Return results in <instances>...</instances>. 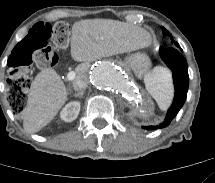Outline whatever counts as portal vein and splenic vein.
Here are the masks:
<instances>
[{"mask_svg": "<svg viewBox=\"0 0 215 183\" xmlns=\"http://www.w3.org/2000/svg\"><path fill=\"white\" fill-rule=\"evenodd\" d=\"M67 78L68 80L72 81L76 78V73L74 71H70L68 74H67Z\"/></svg>", "mask_w": 215, "mask_h": 183, "instance_id": "18ae733b", "label": "portal vein and splenic vein"}]
</instances>
